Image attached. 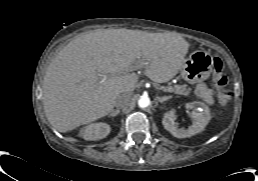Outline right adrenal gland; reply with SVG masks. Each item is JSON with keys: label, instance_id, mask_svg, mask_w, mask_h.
I'll list each match as a JSON object with an SVG mask.
<instances>
[{"label": "right adrenal gland", "instance_id": "right-adrenal-gland-1", "mask_svg": "<svg viewBox=\"0 0 258 181\" xmlns=\"http://www.w3.org/2000/svg\"><path fill=\"white\" fill-rule=\"evenodd\" d=\"M120 113L119 109L112 110L111 113L109 114V117H115Z\"/></svg>", "mask_w": 258, "mask_h": 181}]
</instances>
